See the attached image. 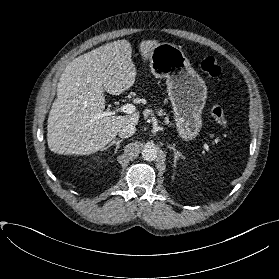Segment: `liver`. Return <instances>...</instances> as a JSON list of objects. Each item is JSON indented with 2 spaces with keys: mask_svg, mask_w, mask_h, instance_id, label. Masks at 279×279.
<instances>
[{
  "mask_svg": "<svg viewBox=\"0 0 279 279\" xmlns=\"http://www.w3.org/2000/svg\"><path fill=\"white\" fill-rule=\"evenodd\" d=\"M158 43H140L144 60ZM131 57V44L124 39L102 45L66 66L48 116L47 142L52 152L94 153L103 150L124 126L138 124L139 112L99 117L105 109V91L119 95L134 84L136 68Z\"/></svg>",
  "mask_w": 279,
  "mask_h": 279,
  "instance_id": "6515ba94",
  "label": "liver"
}]
</instances>
